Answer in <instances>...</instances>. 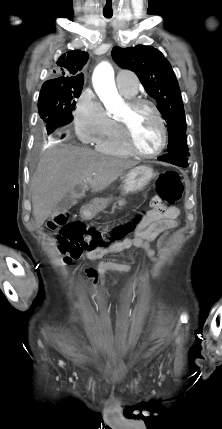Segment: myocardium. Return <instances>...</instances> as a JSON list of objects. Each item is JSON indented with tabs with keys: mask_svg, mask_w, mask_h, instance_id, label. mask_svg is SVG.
Returning a JSON list of instances; mask_svg holds the SVG:
<instances>
[{
	"mask_svg": "<svg viewBox=\"0 0 222 429\" xmlns=\"http://www.w3.org/2000/svg\"><path fill=\"white\" fill-rule=\"evenodd\" d=\"M126 105L129 109L130 113H134L137 109H139L141 107H146L153 112V114L155 115V117L158 121V124L160 126L161 144H160L159 148L152 153L142 152L141 150H139L137 148V146L135 145V143L133 141L129 117H120V118H117L116 120H117L118 125L120 127V133H121V137H122V140H123L125 147L128 149V151L131 154L138 156L140 158L152 159V158H156V157L160 156L163 153V151L165 150L167 143H168L167 126H166V123H165V120H164L162 114L160 113L158 108L151 101L144 99V98H138V97L130 98L127 101Z\"/></svg>",
	"mask_w": 222,
	"mask_h": 429,
	"instance_id": "myocardium-1",
	"label": "myocardium"
}]
</instances>
